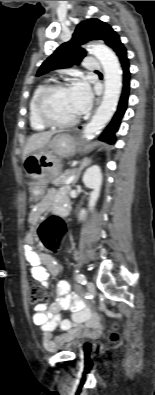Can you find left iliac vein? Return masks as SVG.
<instances>
[{
  "mask_svg": "<svg viewBox=\"0 0 155 395\" xmlns=\"http://www.w3.org/2000/svg\"><path fill=\"white\" fill-rule=\"evenodd\" d=\"M87 289H88L89 293H90L92 296L95 295V292H96V291H95V285H94L93 282L89 281V282L87 283Z\"/></svg>",
  "mask_w": 155,
  "mask_h": 395,
  "instance_id": "obj_1",
  "label": "left iliac vein"
}]
</instances>
